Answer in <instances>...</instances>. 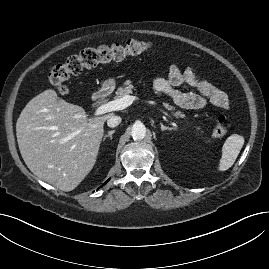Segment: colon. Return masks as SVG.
<instances>
[{
	"instance_id": "obj_1",
	"label": "colon",
	"mask_w": 269,
	"mask_h": 269,
	"mask_svg": "<svg viewBox=\"0 0 269 269\" xmlns=\"http://www.w3.org/2000/svg\"><path fill=\"white\" fill-rule=\"evenodd\" d=\"M152 50V44L147 41L130 40L125 44L103 46L95 49H85L77 55L69 57L65 62L55 65L49 75L50 84L61 95H67L69 88L66 80L84 69L112 61H121L130 56L140 55ZM229 131V124L223 114H217L213 124L215 137H224Z\"/></svg>"
}]
</instances>
